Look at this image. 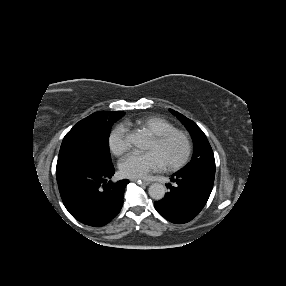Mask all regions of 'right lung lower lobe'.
Masks as SVG:
<instances>
[{"label":"right lung lower lobe","mask_w":286,"mask_h":286,"mask_svg":"<svg viewBox=\"0 0 286 286\" xmlns=\"http://www.w3.org/2000/svg\"><path fill=\"white\" fill-rule=\"evenodd\" d=\"M114 167L73 164L56 171L61 198L68 212L90 226H103L121 210L128 180L112 182Z\"/></svg>","instance_id":"right-lung-lower-lobe-1"}]
</instances>
